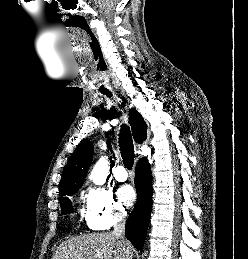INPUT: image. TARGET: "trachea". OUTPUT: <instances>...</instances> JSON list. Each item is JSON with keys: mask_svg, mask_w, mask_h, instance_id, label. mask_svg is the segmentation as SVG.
Instances as JSON below:
<instances>
[{"mask_svg": "<svg viewBox=\"0 0 248 259\" xmlns=\"http://www.w3.org/2000/svg\"><path fill=\"white\" fill-rule=\"evenodd\" d=\"M106 95L112 96L111 93H106ZM119 147L125 167L131 170L134 162V148L130 129L125 125H122L119 133Z\"/></svg>", "mask_w": 248, "mask_h": 259, "instance_id": "1", "label": "trachea"}]
</instances>
